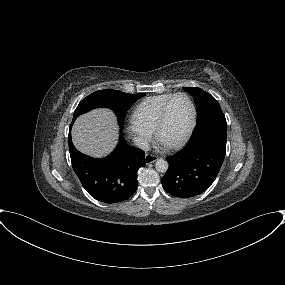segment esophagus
I'll return each mask as SVG.
<instances>
[{"instance_id":"34e87169","label":"esophagus","mask_w":285,"mask_h":285,"mask_svg":"<svg viewBox=\"0 0 285 285\" xmlns=\"http://www.w3.org/2000/svg\"><path fill=\"white\" fill-rule=\"evenodd\" d=\"M157 159H158V157L155 156V155H152V154H146V155H145V163H146V164L153 163V162H155Z\"/></svg>"}]
</instances>
